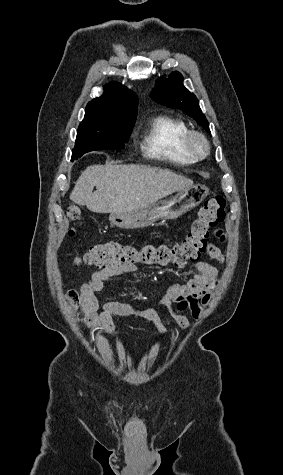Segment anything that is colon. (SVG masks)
<instances>
[{"label":"colon","mask_w":283,"mask_h":475,"mask_svg":"<svg viewBox=\"0 0 283 475\" xmlns=\"http://www.w3.org/2000/svg\"><path fill=\"white\" fill-rule=\"evenodd\" d=\"M67 216L71 222H78L82 219V212L77 207H70ZM224 219V197L213 195L199 208L196 218L191 223L189 233L179 242L172 245H146L141 249L115 242L98 244L88 248L79 261L96 267L120 265L131 268L139 262L147 265L183 267L199 259L200 254L207 247L210 229L215 228ZM68 297L73 299V304L80 303L79 299H75L77 297L75 290H70ZM182 304L185 306L186 301L183 300ZM175 310L179 312L181 309L177 307Z\"/></svg>","instance_id":"5ec220e1"}]
</instances>
